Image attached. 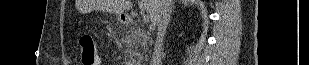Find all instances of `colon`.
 Wrapping results in <instances>:
<instances>
[{
    "label": "colon",
    "mask_w": 309,
    "mask_h": 65,
    "mask_svg": "<svg viewBox=\"0 0 309 65\" xmlns=\"http://www.w3.org/2000/svg\"><path fill=\"white\" fill-rule=\"evenodd\" d=\"M81 49V63L83 65H97L99 62V55L93 38L89 34H84L79 40Z\"/></svg>",
    "instance_id": "5ec220e1"
}]
</instances>
